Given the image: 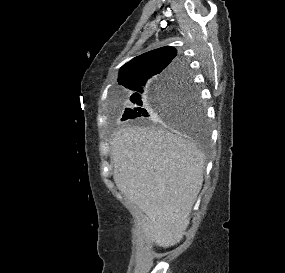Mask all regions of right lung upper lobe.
Returning a JSON list of instances; mask_svg holds the SVG:
<instances>
[{"instance_id": "cb5924a9", "label": "right lung upper lobe", "mask_w": 285, "mask_h": 273, "mask_svg": "<svg viewBox=\"0 0 285 273\" xmlns=\"http://www.w3.org/2000/svg\"><path fill=\"white\" fill-rule=\"evenodd\" d=\"M186 69L174 47H162L133 58L123 65L118 82L132 93L130 99L145 93L157 80Z\"/></svg>"}]
</instances>
